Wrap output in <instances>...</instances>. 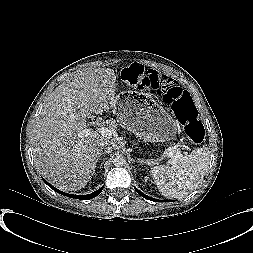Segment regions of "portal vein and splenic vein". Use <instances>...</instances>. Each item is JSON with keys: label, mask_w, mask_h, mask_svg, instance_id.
<instances>
[{"label": "portal vein and splenic vein", "mask_w": 253, "mask_h": 253, "mask_svg": "<svg viewBox=\"0 0 253 253\" xmlns=\"http://www.w3.org/2000/svg\"><path fill=\"white\" fill-rule=\"evenodd\" d=\"M99 133L106 138H112V136L115 135V130L113 128H109V127H105V126H101L98 129ZM85 134L88 133L87 131H84ZM171 158H173V160H175L176 158L180 157L182 154L179 150H171L168 154Z\"/></svg>", "instance_id": "portal-vein-and-splenic-vein-1"}]
</instances>
